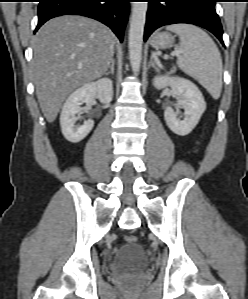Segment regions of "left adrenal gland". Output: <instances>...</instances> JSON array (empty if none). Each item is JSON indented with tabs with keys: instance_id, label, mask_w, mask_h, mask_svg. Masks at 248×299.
Listing matches in <instances>:
<instances>
[{
	"instance_id": "left-adrenal-gland-1",
	"label": "left adrenal gland",
	"mask_w": 248,
	"mask_h": 299,
	"mask_svg": "<svg viewBox=\"0 0 248 299\" xmlns=\"http://www.w3.org/2000/svg\"><path fill=\"white\" fill-rule=\"evenodd\" d=\"M148 67H153L155 69V71L159 72V68L156 65V63L153 60V56L150 57V62L148 64Z\"/></svg>"
}]
</instances>
